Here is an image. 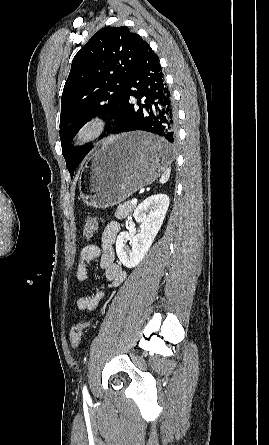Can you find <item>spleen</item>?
Returning <instances> with one entry per match:
<instances>
[{"label": "spleen", "mask_w": 269, "mask_h": 445, "mask_svg": "<svg viewBox=\"0 0 269 445\" xmlns=\"http://www.w3.org/2000/svg\"><path fill=\"white\" fill-rule=\"evenodd\" d=\"M171 168L168 167L165 169L164 173L161 175L160 183L164 184L169 180Z\"/></svg>", "instance_id": "obj_1"}]
</instances>
